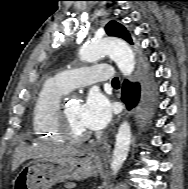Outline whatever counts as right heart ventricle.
<instances>
[{"mask_svg":"<svg viewBox=\"0 0 188 189\" xmlns=\"http://www.w3.org/2000/svg\"><path fill=\"white\" fill-rule=\"evenodd\" d=\"M68 92L55 79L45 80L32 107V130L37 138L61 142L63 137L57 125V114L62 97Z\"/></svg>","mask_w":188,"mask_h":189,"instance_id":"right-heart-ventricle-1","label":"right heart ventricle"}]
</instances>
